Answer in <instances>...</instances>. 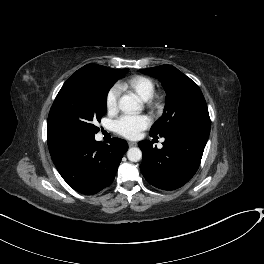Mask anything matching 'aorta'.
I'll list each match as a JSON object with an SVG mask.
<instances>
[{"label": "aorta", "instance_id": "762f6f07", "mask_svg": "<svg viewBox=\"0 0 264 264\" xmlns=\"http://www.w3.org/2000/svg\"><path fill=\"white\" fill-rule=\"evenodd\" d=\"M119 108L127 114H134L142 110V104L134 94L123 95L119 100ZM127 158L131 162H137L142 158V152L139 148L132 147L127 151Z\"/></svg>", "mask_w": 264, "mask_h": 264}]
</instances>
